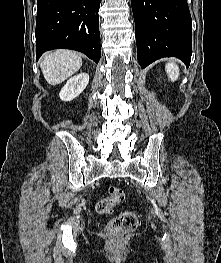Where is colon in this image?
<instances>
[{
	"instance_id": "5ec220e1",
	"label": "colon",
	"mask_w": 221,
	"mask_h": 263,
	"mask_svg": "<svg viewBox=\"0 0 221 263\" xmlns=\"http://www.w3.org/2000/svg\"><path fill=\"white\" fill-rule=\"evenodd\" d=\"M108 192V196L99 200L96 205V209L100 214L109 213L125 197L124 191L115 185H111ZM137 225L136 214L132 211H123L109 221L107 232L113 236H121L134 231Z\"/></svg>"
}]
</instances>
